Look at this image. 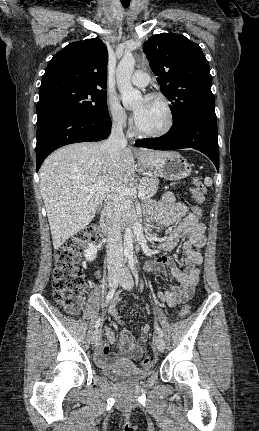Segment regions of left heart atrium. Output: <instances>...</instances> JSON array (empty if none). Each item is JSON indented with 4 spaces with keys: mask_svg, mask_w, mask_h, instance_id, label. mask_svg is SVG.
I'll use <instances>...</instances> for the list:
<instances>
[{
    "mask_svg": "<svg viewBox=\"0 0 259 431\" xmlns=\"http://www.w3.org/2000/svg\"><path fill=\"white\" fill-rule=\"evenodd\" d=\"M141 111H142V107L134 111L135 119L140 115Z\"/></svg>",
    "mask_w": 259,
    "mask_h": 431,
    "instance_id": "1",
    "label": "left heart atrium"
}]
</instances>
